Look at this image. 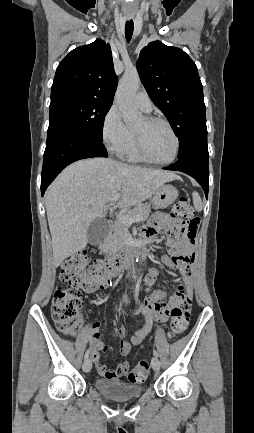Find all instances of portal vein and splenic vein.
<instances>
[{
	"label": "portal vein and splenic vein",
	"instance_id": "18ae733b",
	"mask_svg": "<svg viewBox=\"0 0 254 433\" xmlns=\"http://www.w3.org/2000/svg\"><path fill=\"white\" fill-rule=\"evenodd\" d=\"M120 196H121L120 194L115 195V196L110 200V202H111V203L116 202L117 200L120 199ZM117 217H118L120 220H122L123 222L127 223L128 225H129V224H132L133 222H138V221L141 220V217H140L139 215H136V216H130V215H127V214H117Z\"/></svg>",
	"mask_w": 254,
	"mask_h": 433
}]
</instances>
